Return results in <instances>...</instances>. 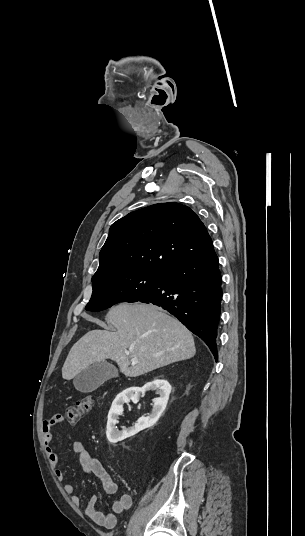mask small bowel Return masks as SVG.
Segmentation results:
<instances>
[{
	"label": "small bowel",
	"instance_id": "1",
	"mask_svg": "<svg viewBox=\"0 0 305 536\" xmlns=\"http://www.w3.org/2000/svg\"><path fill=\"white\" fill-rule=\"evenodd\" d=\"M62 418L63 415L59 411H56L53 414L47 413L42 427V439L45 452L58 481H63L64 472L59 468L58 454L52 448L54 437L52 430L56 426V422L61 421ZM72 451L78 455L83 472L95 475L100 480L106 493L114 494L118 491V483L109 475L103 464L90 455L82 442H74L72 444ZM64 491L71 497V501L74 505L79 506L81 504L80 496L74 494L75 488L73 484H65ZM132 502V497L128 493H123L119 499L113 502L112 512L104 513L98 509L97 497L93 495L90 497L85 507V514L97 525L107 529H113L117 524L116 515L122 514L130 509Z\"/></svg>",
	"mask_w": 305,
	"mask_h": 536
}]
</instances>
